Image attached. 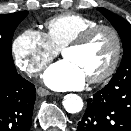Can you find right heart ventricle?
I'll return each mask as SVG.
<instances>
[{
  "mask_svg": "<svg viewBox=\"0 0 131 131\" xmlns=\"http://www.w3.org/2000/svg\"><path fill=\"white\" fill-rule=\"evenodd\" d=\"M95 25H98V22L90 17L76 13H66L46 21L45 35L59 51L81 32Z\"/></svg>",
  "mask_w": 131,
  "mask_h": 131,
  "instance_id": "right-heart-ventricle-1",
  "label": "right heart ventricle"
}]
</instances>
